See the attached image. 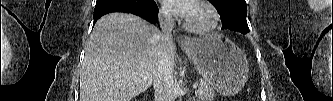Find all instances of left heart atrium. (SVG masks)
<instances>
[{"label": "left heart atrium", "instance_id": "39dd6f15", "mask_svg": "<svg viewBox=\"0 0 333 101\" xmlns=\"http://www.w3.org/2000/svg\"><path fill=\"white\" fill-rule=\"evenodd\" d=\"M164 5L169 11L187 17L193 2L190 0H164Z\"/></svg>", "mask_w": 333, "mask_h": 101}]
</instances>
